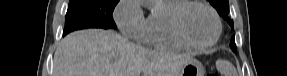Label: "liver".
I'll return each mask as SVG.
<instances>
[{"label": "liver", "instance_id": "liver-1", "mask_svg": "<svg viewBox=\"0 0 287 76\" xmlns=\"http://www.w3.org/2000/svg\"><path fill=\"white\" fill-rule=\"evenodd\" d=\"M189 59L135 45L114 31L88 29L62 39L53 76H179Z\"/></svg>", "mask_w": 287, "mask_h": 76}]
</instances>
